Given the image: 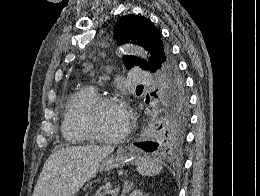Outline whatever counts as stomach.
<instances>
[{"label":"stomach","mask_w":260,"mask_h":196,"mask_svg":"<svg viewBox=\"0 0 260 196\" xmlns=\"http://www.w3.org/2000/svg\"><path fill=\"white\" fill-rule=\"evenodd\" d=\"M136 162V156L133 152H129L126 148H119L117 154H111L103 158L99 164L98 172H108V170H114V168H123L127 164H134Z\"/></svg>","instance_id":"1"}]
</instances>
